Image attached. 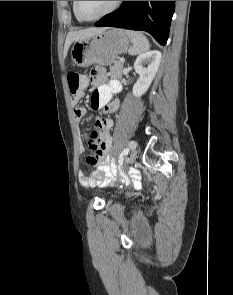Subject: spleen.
Here are the masks:
<instances>
[{
  "mask_svg": "<svg viewBox=\"0 0 233 295\" xmlns=\"http://www.w3.org/2000/svg\"><path fill=\"white\" fill-rule=\"evenodd\" d=\"M126 33L129 36L132 43V46L129 49L130 55H137L149 50V41L141 32L127 30Z\"/></svg>",
  "mask_w": 233,
  "mask_h": 295,
  "instance_id": "1",
  "label": "spleen"
}]
</instances>
